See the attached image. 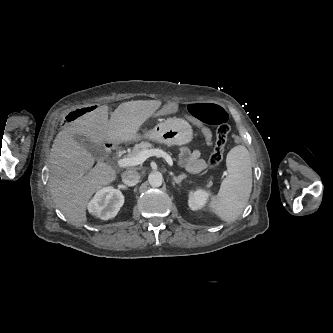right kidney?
I'll return each instance as SVG.
<instances>
[{
    "label": "right kidney",
    "instance_id": "ca27d5eb",
    "mask_svg": "<svg viewBox=\"0 0 333 333\" xmlns=\"http://www.w3.org/2000/svg\"><path fill=\"white\" fill-rule=\"evenodd\" d=\"M124 203V196L120 190L104 187L96 192L88 204L89 212L102 219L108 220L117 215Z\"/></svg>",
    "mask_w": 333,
    "mask_h": 333
}]
</instances>
